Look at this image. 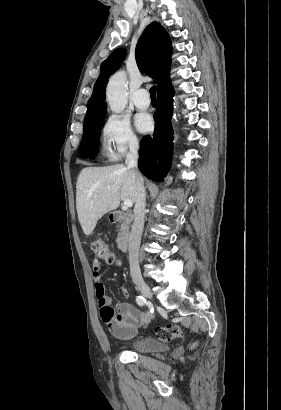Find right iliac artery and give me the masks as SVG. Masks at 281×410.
<instances>
[{
    "instance_id": "right-iliac-artery-1",
    "label": "right iliac artery",
    "mask_w": 281,
    "mask_h": 410,
    "mask_svg": "<svg viewBox=\"0 0 281 410\" xmlns=\"http://www.w3.org/2000/svg\"><path fill=\"white\" fill-rule=\"evenodd\" d=\"M136 302L139 306H143L146 302L145 298L142 296H137L136 297Z\"/></svg>"
}]
</instances>
